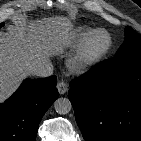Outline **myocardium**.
<instances>
[{
  "mask_svg": "<svg viewBox=\"0 0 141 141\" xmlns=\"http://www.w3.org/2000/svg\"><path fill=\"white\" fill-rule=\"evenodd\" d=\"M98 35H104L106 38L105 46L99 51H91L90 46L94 38ZM113 46L111 34L103 28L92 30L87 37L77 47L71 57V68L76 72H85L100 63L110 52Z\"/></svg>",
  "mask_w": 141,
  "mask_h": 141,
  "instance_id": "myocardium-1",
  "label": "myocardium"
}]
</instances>
